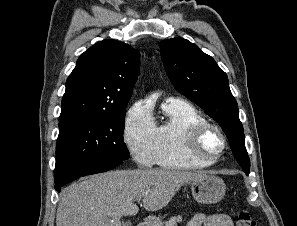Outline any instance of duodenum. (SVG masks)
I'll list each match as a JSON object with an SVG mask.
<instances>
[{"instance_id": "obj_1", "label": "duodenum", "mask_w": 297, "mask_h": 226, "mask_svg": "<svg viewBox=\"0 0 297 226\" xmlns=\"http://www.w3.org/2000/svg\"><path fill=\"white\" fill-rule=\"evenodd\" d=\"M136 226H151V222L143 220L139 222Z\"/></svg>"}]
</instances>
